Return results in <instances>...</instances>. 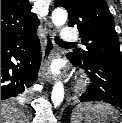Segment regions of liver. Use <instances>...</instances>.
Segmentation results:
<instances>
[{"mask_svg":"<svg viewBox=\"0 0 122 123\" xmlns=\"http://www.w3.org/2000/svg\"><path fill=\"white\" fill-rule=\"evenodd\" d=\"M1 123H26L21 110L8 102H1Z\"/></svg>","mask_w":122,"mask_h":123,"instance_id":"obj_1","label":"liver"}]
</instances>
